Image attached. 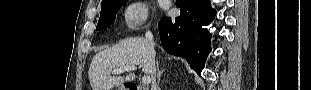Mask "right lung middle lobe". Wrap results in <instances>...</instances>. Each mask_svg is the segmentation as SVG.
I'll return each mask as SVG.
<instances>
[{
    "label": "right lung middle lobe",
    "instance_id": "dd1d6c3e",
    "mask_svg": "<svg viewBox=\"0 0 311 90\" xmlns=\"http://www.w3.org/2000/svg\"><path fill=\"white\" fill-rule=\"evenodd\" d=\"M126 0H110L101 4V14L96 27V30H106L110 27L116 17V13Z\"/></svg>",
    "mask_w": 311,
    "mask_h": 90
}]
</instances>
